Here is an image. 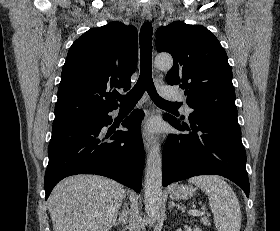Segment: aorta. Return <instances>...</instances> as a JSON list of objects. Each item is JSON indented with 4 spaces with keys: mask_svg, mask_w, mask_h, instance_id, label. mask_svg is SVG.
Returning <instances> with one entry per match:
<instances>
[{
    "mask_svg": "<svg viewBox=\"0 0 280 231\" xmlns=\"http://www.w3.org/2000/svg\"><path fill=\"white\" fill-rule=\"evenodd\" d=\"M154 64L159 70H169L173 64L172 56L159 54L156 56ZM144 193L146 213L149 217H156L162 205V155L157 139L147 155Z\"/></svg>",
    "mask_w": 280,
    "mask_h": 231,
    "instance_id": "762f6f07",
    "label": "aorta"
}]
</instances>
